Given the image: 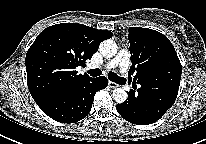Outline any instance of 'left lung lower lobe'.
<instances>
[{
  "mask_svg": "<svg viewBox=\"0 0 206 144\" xmlns=\"http://www.w3.org/2000/svg\"><path fill=\"white\" fill-rule=\"evenodd\" d=\"M173 92L147 94L144 85L135 92L130 90L128 99L117 104L118 113L128 122L147 125L159 120L176 100Z\"/></svg>",
  "mask_w": 206,
  "mask_h": 144,
  "instance_id": "obj_1",
  "label": "left lung lower lobe"
}]
</instances>
